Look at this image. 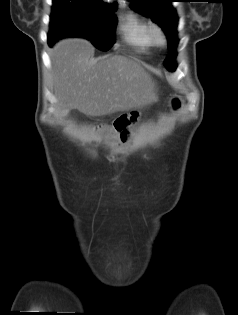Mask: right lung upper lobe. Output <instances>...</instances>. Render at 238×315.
<instances>
[{
  "label": "right lung upper lobe",
  "instance_id": "obj_1",
  "mask_svg": "<svg viewBox=\"0 0 238 315\" xmlns=\"http://www.w3.org/2000/svg\"><path fill=\"white\" fill-rule=\"evenodd\" d=\"M85 1H90V2L96 3V4L101 5V6L109 7L108 4H104L99 0H85ZM114 7H116V4L114 5Z\"/></svg>",
  "mask_w": 238,
  "mask_h": 315
}]
</instances>
